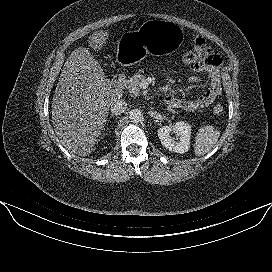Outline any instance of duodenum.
I'll list each match as a JSON object with an SVG mask.
<instances>
[{
	"instance_id": "obj_1",
	"label": "duodenum",
	"mask_w": 272,
	"mask_h": 272,
	"mask_svg": "<svg viewBox=\"0 0 272 272\" xmlns=\"http://www.w3.org/2000/svg\"><path fill=\"white\" fill-rule=\"evenodd\" d=\"M125 80V76L123 74H116L114 76V82L117 84V85H121Z\"/></svg>"
}]
</instances>
